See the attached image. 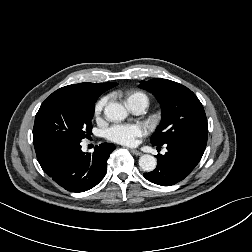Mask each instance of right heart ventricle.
Wrapping results in <instances>:
<instances>
[{
	"instance_id": "obj_1",
	"label": "right heart ventricle",
	"mask_w": 252,
	"mask_h": 252,
	"mask_svg": "<svg viewBox=\"0 0 252 252\" xmlns=\"http://www.w3.org/2000/svg\"><path fill=\"white\" fill-rule=\"evenodd\" d=\"M136 100H142L146 102L147 104L149 102L148 96L141 91H133V92L128 93L127 98H126L127 103L131 101H136Z\"/></svg>"
}]
</instances>
